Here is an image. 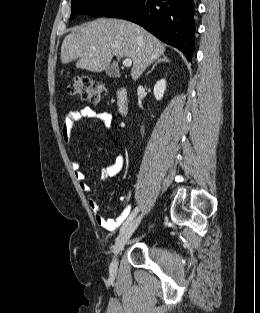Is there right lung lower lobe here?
I'll return each mask as SVG.
<instances>
[{
  "mask_svg": "<svg viewBox=\"0 0 260 313\" xmlns=\"http://www.w3.org/2000/svg\"><path fill=\"white\" fill-rule=\"evenodd\" d=\"M193 0H125L105 17L134 22L163 42L180 49L188 61L194 51Z\"/></svg>",
  "mask_w": 260,
  "mask_h": 313,
  "instance_id": "obj_1",
  "label": "right lung lower lobe"
}]
</instances>
